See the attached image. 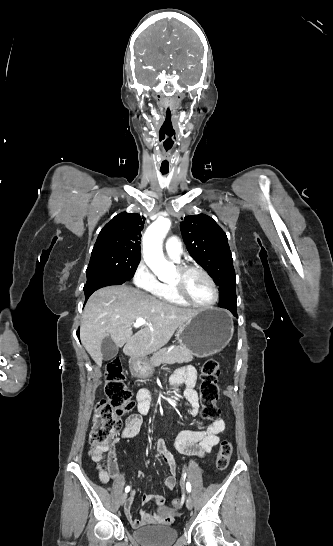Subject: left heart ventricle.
<instances>
[{
  "mask_svg": "<svg viewBox=\"0 0 333 546\" xmlns=\"http://www.w3.org/2000/svg\"><path fill=\"white\" fill-rule=\"evenodd\" d=\"M179 279L175 273L173 283ZM183 285L187 295L198 303H208L213 300L214 292L208 280L198 271H190L183 277Z\"/></svg>",
  "mask_w": 333,
  "mask_h": 546,
  "instance_id": "1",
  "label": "left heart ventricle"
}]
</instances>
